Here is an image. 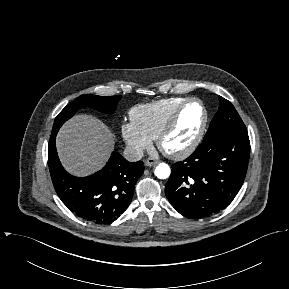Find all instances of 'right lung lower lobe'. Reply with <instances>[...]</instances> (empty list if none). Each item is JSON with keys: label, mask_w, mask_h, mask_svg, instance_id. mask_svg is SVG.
<instances>
[{"label": "right lung lower lobe", "mask_w": 289, "mask_h": 289, "mask_svg": "<svg viewBox=\"0 0 289 289\" xmlns=\"http://www.w3.org/2000/svg\"><path fill=\"white\" fill-rule=\"evenodd\" d=\"M51 134L48 165L52 182L61 201L77 216L97 224L115 221L128 207L137 179L144 172L142 161L128 162L113 152L106 166L95 174L78 178L62 167Z\"/></svg>", "instance_id": "1"}]
</instances>
